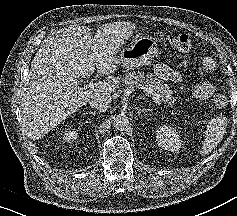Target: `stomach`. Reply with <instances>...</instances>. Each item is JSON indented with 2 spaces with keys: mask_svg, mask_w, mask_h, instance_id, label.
Masks as SVG:
<instances>
[{
  "mask_svg": "<svg viewBox=\"0 0 237 216\" xmlns=\"http://www.w3.org/2000/svg\"><path fill=\"white\" fill-rule=\"evenodd\" d=\"M158 54L159 50L155 41L151 37L143 36L121 51L118 57L119 65L126 70H132L150 64Z\"/></svg>",
  "mask_w": 237,
  "mask_h": 216,
  "instance_id": "obj_1",
  "label": "stomach"
}]
</instances>
